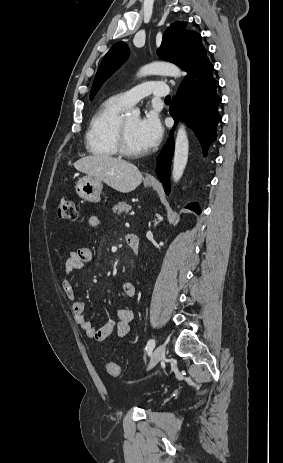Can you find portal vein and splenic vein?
I'll return each instance as SVG.
<instances>
[{
	"label": "portal vein and splenic vein",
	"mask_w": 283,
	"mask_h": 463,
	"mask_svg": "<svg viewBox=\"0 0 283 463\" xmlns=\"http://www.w3.org/2000/svg\"><path fill=\"white\" fill-rule=\"evenodd\" d=\"M130 214H131V215H134V214H135V212H134V211H132Z\"/></svg>",
	"instance_id": "portal-vein-and-splenic-vein-1"
}]
</instances>
